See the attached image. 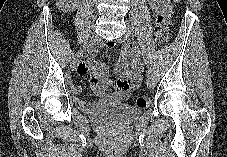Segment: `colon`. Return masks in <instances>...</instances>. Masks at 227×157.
Instances as JSON below:
<instances>
[{"label":"colon","instance_id":"1","mask_svg":"<svg viewBox=\"0 0 227 157\" xmlns=\"http://www.w3.org/2000/svg\"><path fill=\"white\" fill-rule=\"evenodd\" d=\"M178 1V0H176ZM155 35L158 41L165 43L169 39V28L165 22L163 16H158L155 23ZM136 105L141 108L145 109L149 106L150 100L146 96H138L135 98Z\"/></svg>","mask_w":227,"mask_h":157}]
</instances>
